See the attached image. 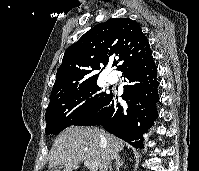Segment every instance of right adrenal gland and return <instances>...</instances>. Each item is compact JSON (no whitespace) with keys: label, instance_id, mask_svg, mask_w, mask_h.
<instances>
[{"label":"right adrenal gland","instance_id":"1","mask_svg":"<svg viewBox=\"0 0 199 171\" xmlns=\"http://www.w3.org/2000/svg\"><path fill=\"white\" fill-rule=\"evenodd\" d=\"M124 161L118 155L116 157V171H120V167L123 166Z\"/></svg>","mask_w":199,"mask_h":171}]
</instances>
